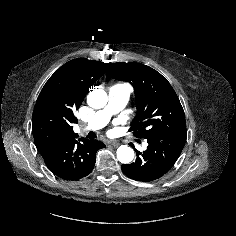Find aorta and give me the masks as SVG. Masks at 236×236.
Here are the masks:
<instances>
[{"label": "aorta", "instance_id": "762f6f07", "mask_svg": "<svg viewBox=\"0 0 236 236\" xmlns=\"http://www.w3.org/2000/svg\"><path fill=\"white\" fill-rule=\"evenodd\" d=\"M108 101L107 93L103 89H94L87 96V103L94 109H100L106 106ZM134 158V150L127 146L121 145L117 149V159L121 163H129Z\"/></svg>", "mask_w": 236, "mask_h": 236}]
</instances>
